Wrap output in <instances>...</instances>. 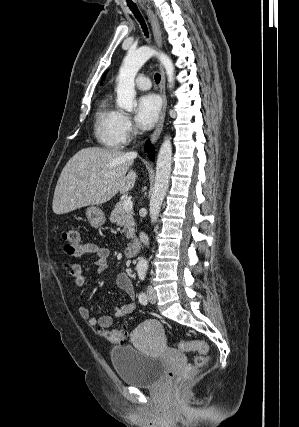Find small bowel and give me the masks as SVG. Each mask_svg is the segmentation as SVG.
Listing matches in <instances>:
<instances>
[{"instance_id":"obj_1","label":"small bowel","mask_w":299,"mask_h":427,"mask_svg":"<svg viewBox=\"0 0 299 427\" xmlns=\"http://www.w3.org/2000/svg\"><path fill=\"white\" fill-rule=\"evenodd\" d=\"M64 252L68 257L77 258L85 254L95 257L94 266L97 273H103L107 269L109 250L106 247L100 246L96 243H79L78 245H67L64 247ZM65 272L71 276L78 287L85 285V277L82 274L81 267L71 261L63 263ZM116 284L130 297V301L122 306L116 307L113 315H104L99 318L92 316L90 309L81 305L78 308L79 315L82 319L86 320L91 326H99L100 328H109L113 319H121L135 310L136 304L133 301L134 286L126 273H119L116 277Z\"/></svg>"}]
</instances>
